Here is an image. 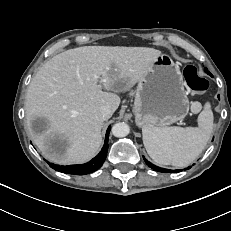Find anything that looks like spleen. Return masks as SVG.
<instances>
[{"mask_svg": "<svg viewBox=\"0 0 231 231\" xmlns=\"http://www.w3.org/2000/svg\"><path fill=\"white\" fill-rule=\"evenodd\" d=\"M213 129V112L206 103L198 116V127L142 128L143 143L149 156L158 164L186 167L205 148Z\"/></svg>", "mask_w": 231, "mask_h": 231, "instance_id": "1", "label": "spleen"}]
</instances>
